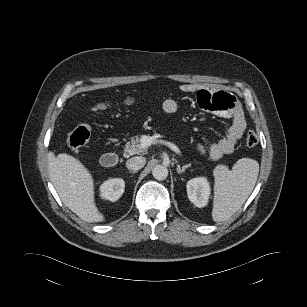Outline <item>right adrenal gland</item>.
<instances>
[{"label":"right adrenal gland","instance_id":"1","mask_svg":"<svg viewBox=\"0 0 307 307\" xmlns=\"http://www.w3.org/2000/svg\"><path fill=\"white\" fill-rule=\"evenodd\" d=\"M130 173H136V171H129Z\"/></svg>","mask_w":307,"mask_h":307}]
</instances>
